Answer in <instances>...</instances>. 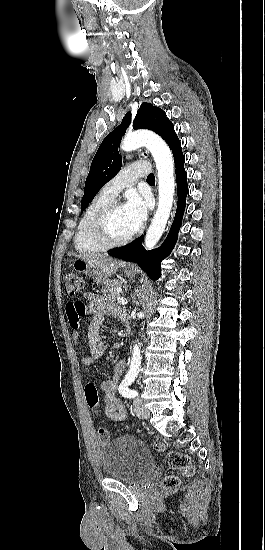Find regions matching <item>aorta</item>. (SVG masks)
Here are the masks:
<instances>
[{
	"instance_id": "1",
	"label": "aorta",
	"mask_w": 265,
	"mask_h": 550,
	"mask_svg": "<svg viewBox=\"0 0 265 550\" xmlns=\"http://www.w3.org/2000/svg\"><path fill=\"white\" fill-rule=\"evenodd\" d=\"M141 146H145L151 152L158 170V208L145 236L146 249H152L161 238L170 216L175 192L174 161L167 144L151 132L138 131L128 134L121 143L122 150L127 152ZM140 366L141 351L139 345L135 344L129 375L136 376L139 373Z\"/></svg>"
}]
</instances>
